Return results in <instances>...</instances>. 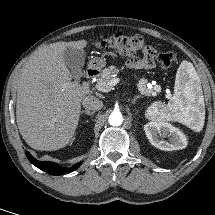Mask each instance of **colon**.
<instances>
[{
    "label": "colon",
    "instance_id": "obj_1",
    "mask_svg": "<svg viewBox=\"0 0 215 215\" xmlns=\"http://www.w3.org/2000/svg\"><path fill=\"white\" fill-rule=\"evenodd\" d=\"M97 47L101 49H111L125 56H134L144 47V40L139 35L118 33L97 42ZM158 61L162 67L169 68L175 61V54L173 52L160 53Z\"/></svg>",
    "mask_w": 215,
    "mask_h": 215
}]
</instances>
